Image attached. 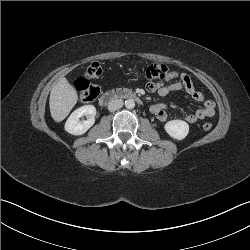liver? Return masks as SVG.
<instances>
[{
  "instance_id": "6515ba94",
  "label": "liver",
  "mask_w": 250,
  "mask_h": 250,
  "mask_svg": "<svg viewBox=\"0 0 250 250\" xmlns=\"http://www.w3.org/2000/svg\"><path fill=\"white\" fill-rule=\"evenodd\" d=\"M78 101V95L65 77L52 87L49 98L50 113L54 121H63Z\"/></svg>"
}]
</instances>
